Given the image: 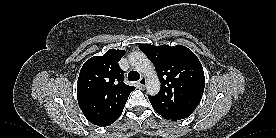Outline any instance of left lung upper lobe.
Segmentation results:
<instances>
[{"instance_id":"5c2ea615","label":"left lung upper lobe","mask_w":276,"mask_h":138,"mask_svg":"<svg viewBox=\"0 0 276 138\" xmlns=\"http://www.w3.org/2000/svg\"><path fill=\"white\" fill-rule=\"evenodd\" d=\"M153 62L161 90L148 96L154 110L162 117L180 120L188 117L201 101L205 77L197 56L182 45H139Z\"/></svg>"}]
</instances>
